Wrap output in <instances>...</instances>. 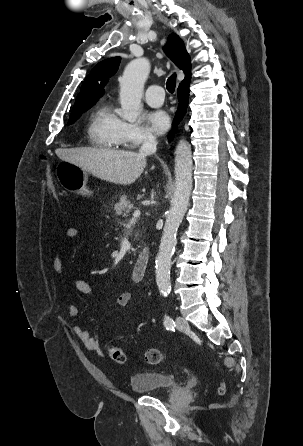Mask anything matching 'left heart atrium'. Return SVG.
Instances as JSON below:
<instances>
[{
  "mask_svg": "<svg viewBox=\"0 0 303 446\" xmlns=\"http://www.w3.org/2000/svg\"><path fill=\"white\" fill-rule=\"evenodd\" d=\"M149 128L156 134H163L170 125V118L163 110H154L146 114Z\"/></svg>",
  "mask_w": 303,
  "mask_h": 446,
  "instance_id": "39dd6f15",
  "label": "left heart atrium"
}]
</instances>
